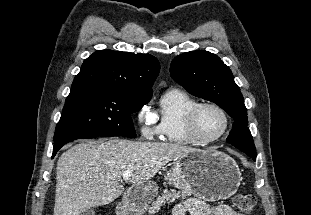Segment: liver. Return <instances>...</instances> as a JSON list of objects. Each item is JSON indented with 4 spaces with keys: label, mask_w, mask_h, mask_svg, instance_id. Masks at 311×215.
Wrapping results in <instances>:
<instances>
[{
    "label": "liver",
    "mask_w": 311,
    "mask_h": 215,
    "mask_svg": "<svg viewBox=\"0 0 311 215\" xmlns=\"http://www.w3.org/2000/svg\"><path fill=\"white\" fill-rule=\"evenodd\" d=\"M193 150L178 143L126 139L70 146L57 162L53 215H81L92 207L109 204L123 193L120 180L125 171L132 172L129 182L135 187Z\"/></svg>",
    "instance_id": "liver-1"
}]
</instances>
